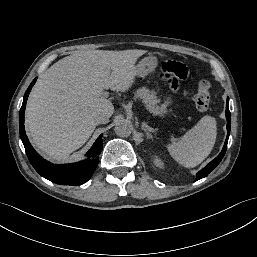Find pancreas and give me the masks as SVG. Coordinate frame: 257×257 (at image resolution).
I'll return each instance as SVG.
<instances>
[{
  "mask_svg": "<svg viewBox=\"0 0 257 257\" xmlns=\"http://www.w3.org/2000/svg\"><path fill=\"white\" fill-rule=\"evenodd\" d=\"M134 97L141 100L149 112L155 115H163L166 113V109L163 105L158 106L160 99H158L154 91L142 87L136 90Z\"/></svg>",
  "mask_w": 257,
  "mask_h": 257,
  "instance_id": "1",
  "label": "pancreas"
}]
</instances>
